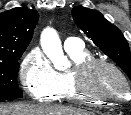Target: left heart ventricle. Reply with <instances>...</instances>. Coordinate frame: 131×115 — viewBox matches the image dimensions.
Instances as JSON below:
<instances>
[{"label":"left heart ventricle","instance_id":"1","mask_svg":"<svg viewBox=\"0 0 131 115\" xmlns=\"http://www.w3.org/2000/svg\"><path fill=\"white\" fill-rule=\"evenodd\" d=\"M90 89L109 98L126 96L125 85L120 77L109 68L99 66L89 76Z\"/></svg>","mask_w":131,"mask_h":115}]
</instances>
